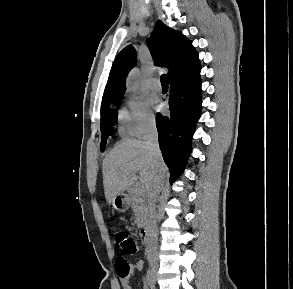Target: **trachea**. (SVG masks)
<instances>
[{
  "mask_svg": "<svg viewBox=\"0 0 293 289\" xmlns=\"http://www.w3.org/2000/svg\"><path fill=\"white\" fill-rule=\"evenodd\" d=\"M160 80H161L162 86L168 87V77H167V75L163 74L161 76V79Z\"/></svg>",
  "mask_w": 293,
  "mask_h": 289,
  "instance_id": "3493384b",
  "label": "trachea"
}]
</instances>
